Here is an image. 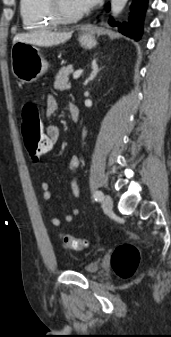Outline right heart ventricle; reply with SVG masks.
<instances>
[{"label": "right heart ventricle", "instance_id": "obj_1", "mask_svg": "<svg viewBox=\"0 0 171 337\" xmlns=\"http://www.w3.org/2000/svg\"><path fill=\"white\" fill-rule=\"evenodd\" d=\"M20 15L28 30H43L56 26L48 0H20Z\"/></svg>", "mask_w": 171, "mask_h": 337}]
</instances>
